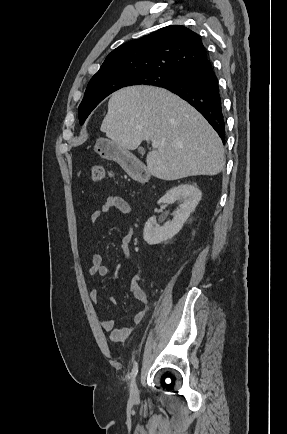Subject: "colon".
<instances>
[{
  "instance_id": "colon-1",
  "label": "colon",
  "mask_w": 287,
  "mask_h": 434,
  "mask_svg": "<svg viewBox=\"0 0 287 434\" xmlns=\"http://www.w3.org/2000/svg\"><path fill=\"white\" fill-rule=\"evenodd\" d=\"M92 180L100 182L109 176V170L103 165H94L91 168Z\"/></svg>"
}]
</instances>
